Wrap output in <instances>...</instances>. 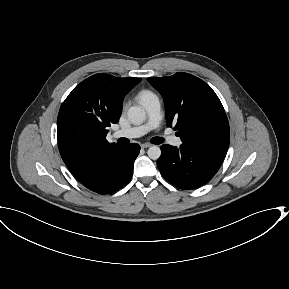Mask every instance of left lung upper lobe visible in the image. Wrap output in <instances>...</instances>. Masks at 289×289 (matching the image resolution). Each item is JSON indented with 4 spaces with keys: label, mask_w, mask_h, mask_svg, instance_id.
<instances>
[{
    "label": "left lung upper lobe",
    "mask_w": 289,
    "mask_h": 289,
    "mask_svg": "<svg viewBox=\"0 0 289 289\" xmlns=\"http://www.w3.org/2000/svg\"><path fill=\"white\" fill-rule=\"evenodd\" d=\"M147 80L162 95L167 125H175L182 145L224 158L230 142L229 123L211 87L183 72Z\"/></svg>",
    "instance_id": "1"
}]
</instances>
